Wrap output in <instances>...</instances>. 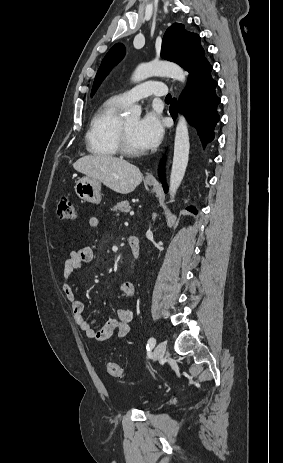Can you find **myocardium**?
Here are the masks:
<instances>
[{"label":"myocardium","instance_id":"1","mask_svg":"<svg viewBox=\"0 0 283 463\" xmlns=\"http://www.w3.org/2000/svg\"><path fill=\"white\" fill-rule=\"evenodd\" d=\"M118 147L119 151L128 157H139L144 154L143 151L134 150L128 141L125 121L121 120L118 130Z\"/></svg>","mask_w":283,"mask_h":463}]
</instances>
